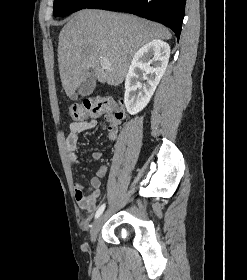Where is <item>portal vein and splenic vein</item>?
<instances>
[{"mask_svg": "<svg viewBox=\"0 0 247 280\" xmlns=\"http://www.w3.org/2000/svg\"><path fill=\"white\" fill-rule=\"evenodd\" d=\"M100 65L103 67H106L107 65H109L108 59L107 58L100 59Z\"/></svg>", "mask_w": 247, "mask_h": 280, "instance_id": "portal-vein-and-splenic-vein-1", "label": "portal vein and splenic vein"}]
</instances>
